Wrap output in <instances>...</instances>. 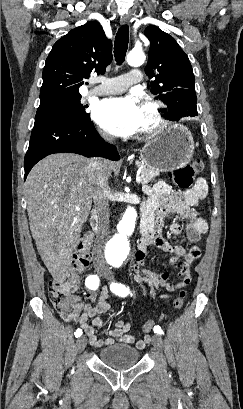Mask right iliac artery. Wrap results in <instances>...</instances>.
<instances>
[{
  "label": "right iliac artery",
  "instance_id": "obj_1",
  "mask_svg": "<svg viewBox=\"0 0 243 409\" xmlns=\"http://www.w3.org/2000/svg\"><path fill=\"white\" fill-rule=\"evenodd\" d=\"M99 282L100 280L97 275H89L86 278L85 285L87 286L88 289L96 290L99 287ZM74 334L76 337H80L82 335V330L77 329Z\"/></svg>",
  "mask_w": 243,
  "mask_h": 409
}]
</instances>
